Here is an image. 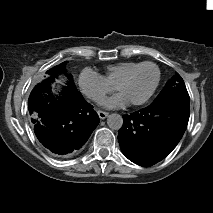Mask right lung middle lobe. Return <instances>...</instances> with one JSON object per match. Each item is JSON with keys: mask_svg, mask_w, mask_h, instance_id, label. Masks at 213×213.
Masks as SVG:
<instances>
[{"mask_svg": "<svg viewBox=\"0 0 213 213\" xmlns=\"http://www.w3.org/2000/svg\"><path fill=\"white\" fill-rule=\"evenodd\" d=\"M66 63H67V61H65V62L53 67L52 69L48 70L46 72L48 74L47 75V79H54V77H56L58 74L65 73V65H66ZM66 75L69 78V84L72 85V86H75L74 82L72 80V76L69 75V74H66Z\"/></svg>", "mask_w": 213, "mask_h": 213, "instance_id": "1", "label": "right lung middle lobe"}]
</instances>
